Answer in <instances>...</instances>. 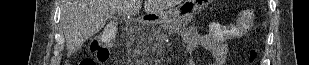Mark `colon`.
Masks as SVG:
<instances>
[{
    "label": "colon",
    "instance_id": "5ec220e1",
    "mask_svg": "<svg viewBox=\"0 0 309 65\" xmlns=\"http://www.w3.org/2000/svg\"><path fill=\"white\" fill-rule=\"evenodd\" d=\"M255 13L253 9H243L238 13L235 24L224 25L214 23L210 25L211 34L221 39H236L242 36L254 23ZM117 28L108 24L101 36L91 42L87 54L80 59L79 65H97L106 62L111 53V48L115 43ZM257 53L251 50L249 53V63H254Z\"/></svg>",
    "mask_w": 309,
    "mask_h": 65
}]
</instances>
